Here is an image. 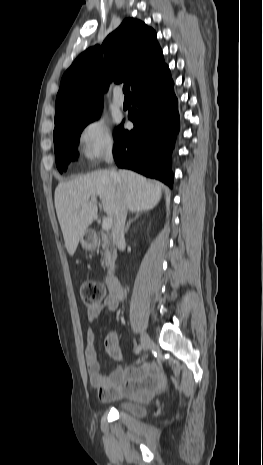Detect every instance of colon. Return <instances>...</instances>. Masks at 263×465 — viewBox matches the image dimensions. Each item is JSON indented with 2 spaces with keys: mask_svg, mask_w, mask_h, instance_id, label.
Instances as JSON below:
<instances>
[{
  "mask_svg": "<svg viewBox=\"0 0 263 465\" xmlns=\"http://www.w3.org/2000/svg\"><path fill=\"white\" fill-rule=\"evenodd\" d=\"M105 295V288L96 281H85L80 287V297L88 307L98 305Z\"/></svg>",
  "mask_w": 263,
  "mask_h": 465,
  "instance_id": "1",
  "label": "colon"
}]
</instances>
